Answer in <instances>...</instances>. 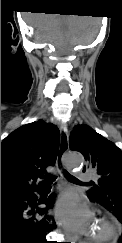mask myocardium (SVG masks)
<instances>
[{
  "label": "myocardium",
  "instance_id": "1",
  "mask_svg": "<svg viewBox=\"0 0 122 243\" xmlns=\"http://www.w3.org/2000/svg\"><path fill=\"white\" fill-rule=\"evenodd\" d=\"M115 232L113 225L105 218L97 220L91 238L94 241L100 242L110 239Z\"/></svg>",
  "mask_w": 122,
  "mask_h": 243
}]
</instances>
